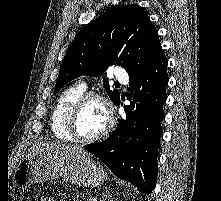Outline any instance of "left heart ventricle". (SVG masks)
<instances>
[{
	"label": "left heart ventricle",
	"mask_w": 221,
	"mask_h": 201,
	"mask_svg": "<svg viewBox=\"0 0 221 201\" xmlns=\"http://www.w3.org/2000/svg\"><path fill=\"white\" fill-rule=\"evenodd\" d=\"M107 124L104 105L98 100L89 101L81 110L77 131L82 137H92L99 134Z\"/></svg>",
	"instance_id": "left-heart-ventricle-1"
}]
</instances>
